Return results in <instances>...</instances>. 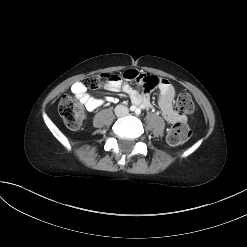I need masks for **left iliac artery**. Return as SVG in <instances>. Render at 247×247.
I'll return each mask as SVG.
<instances>
[{
  "mask_svg": "<svg viewBox=\"0 0 247 247\" xmlns=\"http://www.w3.org/2000/svg\"><path fill=\"white\" fill-rule=\"evenodd\" d=\"M135 113H136L137 115H140L141 110H140L139 108H137L136 111H135Z\"/></svg>",
  "mask_w": 247,
  "mask_h": 247,
  "instance_id": "44dca946",
  "label": "left iliac artery"
}]
</instances>
